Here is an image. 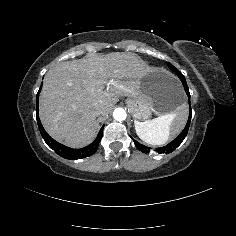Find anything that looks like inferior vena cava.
I'll return each mask as SVG.
<instances>
[{
	"label": "inferior vena cava",
	"mask_w": 236,
	"mask_h": 236,
	"mask_svg": "<svg viewBox=\"0 0 236 236\" xmlns=\"http://www.w3.org/2000/svg\"><path fill=\"white\" fill-rule=\"evenodd\" d=\"M93 114H94L96 117H99V116H101V115H102V113H101V110H100V109H97V110H95V111L93 112Z\"/></svg>",
	"instance_id": "602c4592"
}]
</instances>
